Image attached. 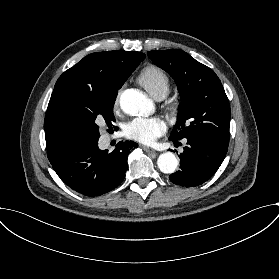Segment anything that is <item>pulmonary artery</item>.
Wrapping results in <instances>:
<instances>
[{
  "mask_svg": "<svg viewBox=\"0 0 279 279\" xmlns=\"http://www.w3.org/2000/svg\"><path fill=\"white\" fill-rule=\"evenodd\" d=\"M166 96L165 92L159 93L158 95L155 96L156 100H162Z\"/></svg>",
  "mask_w": 279,
  "mask_h": 279,
  "instance_id": "1",
  "label": "pulmonary artery"
}]
</instances>
